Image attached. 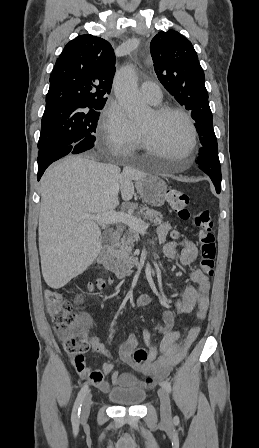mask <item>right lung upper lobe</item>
I'll list each match as a JSON object with an SVG mask.
<instances>
[{"label": "right lung upper lobe", "mask_w": 259, "mask_h": 448, "mask_svg": "<svg viewBox=\"0 0 259 448\" xmlns=\"http://www.w3.org/2000/svg\"><path fill=\"white\" fill-rule=\"evenodd\" d=\"M115 54L110 43L90 34L67 43L50 75L44 114H66L104 105L112 87Z\"/></svg>", "instance_id": "right-lung-upper-lobe-1"}]
</instances>
